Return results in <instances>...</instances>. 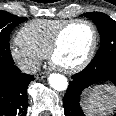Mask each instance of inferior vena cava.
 Instances as JSON below:
<instances>
[{
    "label": "inferior vena cava",
    "instance_id": "1",
    "mask_svg": "<svg viewBox=\"0 0 116 116\" xmlns=\"http://www.w3.org/2000/svg\"><path fill=\"white\" fill-rule=\"evenodd\" d=\"M19 68L27 74H35L39 70V66L34 62L21 63Z\"/></svg>",
    "mask_w": 116,
    "mask_h": 116
}]
</instances>
